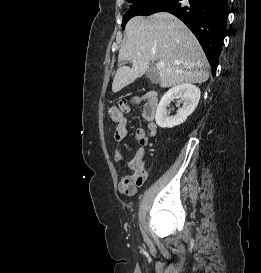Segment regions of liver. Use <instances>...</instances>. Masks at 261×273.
Wrapping results in <instances>:
<instances>
[{"mask_svg": "<svg viewBox=\"0 0 261 273\" xmlns=\"http://www.w3.org/2000/svg\"><path fill=\"white\" fill-rule=\"evenodd\" d=\"M126 42L119 51V62L129 61L132 67L120 66L112 91L119 92L149 69L151 61L164 62L158 67L157 82L163 88L185 83H204L209 78L208 61L198 40L188 27L167 12L147 18L133 17L126 25Z\"/></svg>", "mask_w": 261, "mask_h": 273, "instance_id": "obj_1", "label": "liver"}]
</instances>
